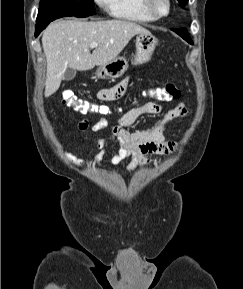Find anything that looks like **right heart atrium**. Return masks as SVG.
I'll return each mask as SVG.
<instances>
[{
  "label": "right heart atrium",
  "instance_id": "obj_1",
  "mask_svg": "<svg viewBox=\"0 0 243 289\" xmlns=\"http://www.w3.org/2000/svg\"><path fill=\"white\" fill-rule=\"evenodd\" d=\"M97 5L104 9H109L110 1L111 0H94Z\"/></svg>",
  "mask_w": 243,
  "mask_h": 289
}]
</instances>
